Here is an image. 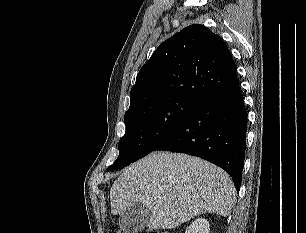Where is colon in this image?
<instances>
[{
  "mask_svg": "<svg viewBox=\"0 0 306 233\" xmlns=\"http://www.w3.org/2000/svg\"><path fill=\"white\" fill-rule=\"evenodd\" d=\"M112 233H127L125 231H113ZM149 233H170L169 231L167 230H159V231H151Z\"/></svg>",
  "mask_w": 306,
  "mask_h": 233,
  "instance_id": "5ec220e1",
  "label": "colon"
}]
</instances>
